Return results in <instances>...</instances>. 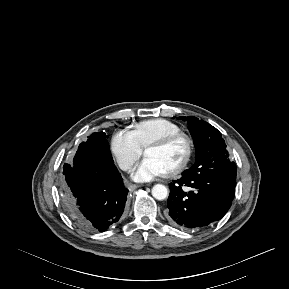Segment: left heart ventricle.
I'll list each match as a JSON object with an SVG mask.
<instances>
[{"mask_svg": "<svg viewBox=\"0 0 289 289\" xmlns=\"http://www.w3.org/2000/svg\"><path fill=\"white\" fill-rule=\"evenodd\" d=\"M185 145L175 142L165 148H150L145 151V156L157 160L166 171L175 167L184 157Z\"/></svg>", "mask_w": 289, "mask_h": 289, "instance_id": "left-heart-ventricle-1", "label": "left heart ventricle"}]
</instances>
